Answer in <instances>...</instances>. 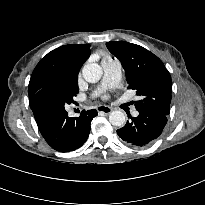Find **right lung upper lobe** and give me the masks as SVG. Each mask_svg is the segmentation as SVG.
<instances>
[{"mask_svg": "<svg viewBox=\"0 0 205 205\" xmlns=\"http://www.w3.org/2000/svg\"><path fill=\"white\" fill-rule=\"evenodd\" d=\"M90 56L89 44L64 45L49 52L35 67L28 86L29 98L50 85L65 86L70 77H78Z\"/></svg>", "mask_w": 205, "mask_h": 205, "instance_id": "obj_1", "label": "right lung upper lobe"}]
</instances>
